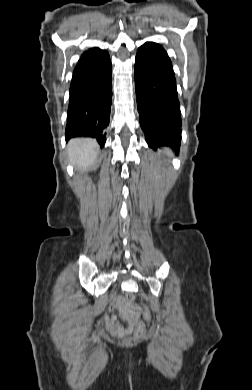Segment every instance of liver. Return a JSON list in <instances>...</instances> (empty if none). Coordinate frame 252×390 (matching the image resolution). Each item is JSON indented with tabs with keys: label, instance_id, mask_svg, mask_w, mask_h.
Segmentation results:
<instances>
[{
	"label": "liver",
	"instance_id": "obj_1",
	"mask_svg": "<svg viewBox=\"0 0 252 390\" xmlns=\"http://www.w3.org/2000/svg\"><path fill=\"white\" fill-rule=\"evenodd\" d=\"M68 157L77 169H85L96 159L99 146L90 138H74L68 143Z\"/></svg>",
	"mask_w": 252,
	"mask_h": 390
}]
</instances>
